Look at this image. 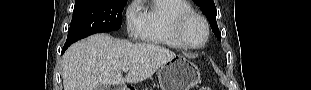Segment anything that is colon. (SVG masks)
Here are the masks:
<instances>
[{
	"instance_id": "obj_1",
	"label": "colon",
	"mask_w": 311,
	"mask_h": 90,
	"mask_svg": "<svg viewBox=\"0 0 311 90\" xmlns=\"http://www.w3.org/2000/svg\"><path fill=\"white\" fill-rule=\"evenodd\" d=\"M199 90H211V88H210V87L203 86V87H200Z\"/></svg>"
}]
</instances>
